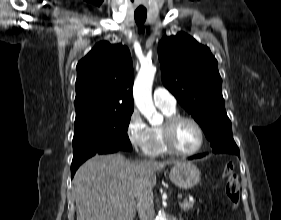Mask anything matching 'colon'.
<instances>
[{
  "label": "colon",
  "mask_w": 281,
  "mask_h": 220,
  "mask_svg": "<svg viewBox=\"0 0 281 220\" xmlns=\"http://www.w3.org/2000/svg\"><path fill=\"white\" fill-rule=\"evenodd\" d=\"M222 175L226 178L225 194L230 203V207L235 209L240 201V184L235 173L234 164L229 162L224 166Z\"/></svg>",
  "instance_id": "1"
}]
</instances>
